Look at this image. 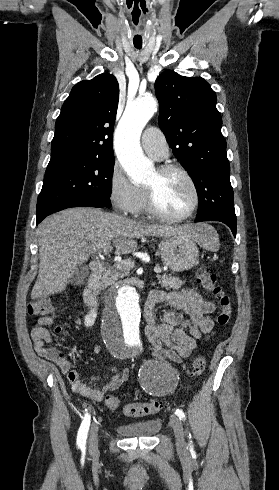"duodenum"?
<instances>
[{"label": "duodenum", "mask_w": 279, "mask_h": 490, "mask_svg": "<svg viewBox=\"0 0 279 490\" xmlns=\"http://www.w3.org/2000/svg\"><path fill=\"white\" fill-rule=\"evenodd\" d=\"M91 275L83 291V299L90 309H95L98 306L97 299V281L104 271V266L100 261H93L90 264ZM129 285L141 287V282L135 279H130L126 282Z\"/></svg>", "instance_id": "duodenum-1"}]
</instances>
